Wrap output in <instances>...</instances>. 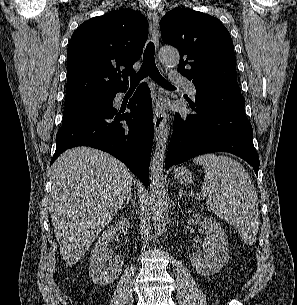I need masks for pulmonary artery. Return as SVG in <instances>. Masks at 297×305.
I'll use <instances>...</instances> for the list:
<instances>
[{
    "label": "pulmonary artery",
    "instance_id": "e3ab8cb5",
    "mask_svg": "<svg viewBox=\"0 0 297 305\" xmlns=\"http://www.w3.org/2000/svg\"><path fill=\"white\" fill-rule=\"evenodd\" d=\"M172 81L176 84H180L183 85L185 87V89L188 91V93L194 97L196 95V87L195 85L188 81L186 78H184L183 76H181L180 74H175L172 77Z\"/></svg>",
    "mask_w": 297,
    "mask_h": 305
}]
</instances>
